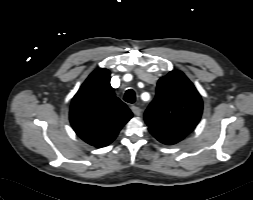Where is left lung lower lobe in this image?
<instances>
[{
    "mask_svg": "<svg viewBox=\"0 0 253 200\" xmlns=\"http://www.w3.org/2000/svg\"><path fill=\"white\" fill-rule=\"evenodd\" d=\"M150 132L161 143H164L167 145L175 144L184 138L179 135L163 133V132H159V131H155V130H150Z\"/></svg>",
    "mask_w": 253,
    "mask_h": 200,
    "instance_id": "left-lung-lower-lobe-1",
    "label": "left lung lower lobe"
}]
</instances>
